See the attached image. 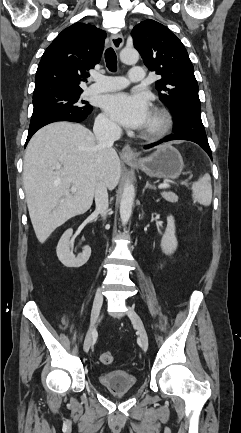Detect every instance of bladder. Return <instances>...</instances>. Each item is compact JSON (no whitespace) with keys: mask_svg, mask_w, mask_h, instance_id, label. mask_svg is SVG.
Masks as SVG:
<instances>
[{"mask_svg":"<svg viewBox=\"0 0 241 433\" xmlns=\"http://www.w3.org/2000/svg\"><path fill=\"white\" fill-rule=\"evenodd\" d=\"M99 383L112 393H121L134 389L137 380L127 371H110L98 376Z\"/></svg>","mask_w":241,"mask_h":433,"instance_id":"bladder-1","label":"bladder"}]
</instances>
